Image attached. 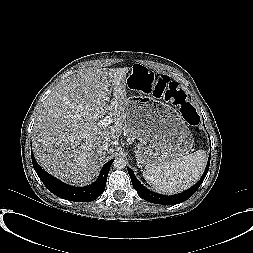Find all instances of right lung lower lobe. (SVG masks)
Returning <instances> with one entry per match:
<instances>
[{"mask_svg":"<svg viewBox=\"0 0 253 253\" xmlns=\"http://www.w3.org/2000/svg\"><path fill=\"white\" fill-rule=\"evenodd\" d=\"M31 157L33 167L47 189L58 197L75 202H90L103 193L110 167L114 161L112 159L103 166L98 179L93 184L85 187H74L63 183L44 171L37 164L33 152H31Z\"/></svg>","mask_w":253,"mask_h":253,"instance_id":"obj_1","label":"right lung lower lobe"}]
</instances>
